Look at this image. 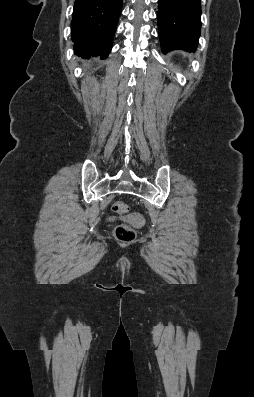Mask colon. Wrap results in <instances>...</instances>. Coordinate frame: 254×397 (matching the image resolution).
Here are the masks:
<instances>
[{
    "mask_svg": "<svg viewBox=\"0 0 254 397\" xmlns=\"http://www.w3.org/2000/svg\"><path fill=\"white\" fill-rule=\"evenodd\" d=\"M112 210L117 214H126L129 211V206L120 200L113 202ZM113 236L122 243H130L136 237L135 230L126 223H119L113 227Z\"/></svg>",
    "mask_w": 254,
    "mask_h": 397,
    "instance_id": "obj_1",
    "label": "colon"
}]
</instances>
